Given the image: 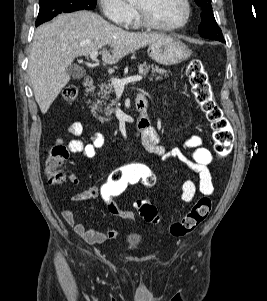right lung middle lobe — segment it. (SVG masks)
<instances>
[{
    "label": "right lung middle lobe",
    "mask_w": 267,
    "mask_h": 301,
    "mask_svg": "<svg viewBox=\"0 0 267 301\" xmlns=\"http://www.w3.org/2000/svg\"><path fill=\"white\" fill-rule=\"evenodd\" d=\"M40 10L35 25L38 26L59 13L78 10H92L96 6V0H39Z\"/></svg>",
    "instance_id": "1"
}]
</instances>
